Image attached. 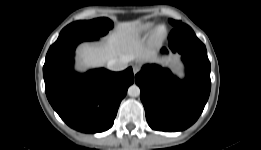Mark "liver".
<instances>
[{"instance_id": "6515ba94", "label": "liver", "mask_w": 261, "mask_h": 150, "mask_svg": "<svg viewBox=\"0 0 261 150\" xmlns=\"http://www.w3.org/2000/svg\"><path fill=\"white\" fill-rule=\"evenodd\" d=\"M138 21L118 24L116 31L111 33L103 43H84L77 49V66L81 71L97 68L111 59L127 56L129 60L147 59L153 54L147 51L137 38ZM171 63L173 60L163 61Z\"/></svg>"}]
</instances>
